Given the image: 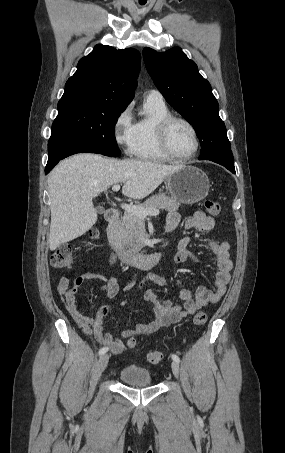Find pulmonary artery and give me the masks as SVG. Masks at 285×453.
Segmentation results:
<instances>
[{"label": "pulmonary artery", "mask_w": 285, "mask_h": 453, "mask_svg": "<svg viewBox=\"0 0 285 453\" xmlns=\"http://www.w3.org/2000/svg\"><path fill=\"white\" fill-rule=\"evenodd\" d=\"M146 100L154 101V102H158V103H164L163 95L160 93V91H158L156 89H152V90L148 91V93L146 95Z\"/></svg>", "instance_id": "1"}]
</instances>
